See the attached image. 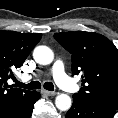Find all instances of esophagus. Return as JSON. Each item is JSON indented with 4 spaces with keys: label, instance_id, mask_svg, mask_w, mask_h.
<instances>
[{
    "label": "esophagus",
    "instance_id": "obj_1",
    "mask_svg": "<svg viewBox=\"0 0 118 118\" xmlns=\"http://www.w3.org/2000/svg\"><path fill=\"white\" fill-rule=\"evenodd\" d=\"M42 93H44L47 96H54V95H56V92L47 91V90H42Z\"/></svg>",
    "mask_w": 118,
    "mask_h": 118
}]
</instances>
